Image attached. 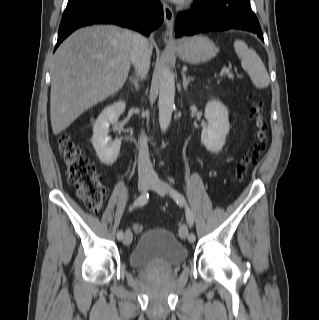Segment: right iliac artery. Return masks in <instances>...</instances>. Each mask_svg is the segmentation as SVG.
I'll use <instances>...</instances> for the list:
<instances>
[{"label": "right iliac artery", "mask_w": 319, "mask_h": 320, "mask_svg": "<svg viewBox=\"0 0 319 320\" xmlns=\"http://www.w3.org/2000/svg\"><path fill=\"white\" fill-rule=\"evenodd\" d=\"M149 199V194L148 193H143L141 194L136 200L135 202L133 203V205L130 207V210H133L134 208L136 207H139V206H143L147 203ZM123 232L120 230L118 231L117 233V239L118 240H122L123 239Z\"/></svg>", "instance_id": "82829eb1"}]
</instances>
